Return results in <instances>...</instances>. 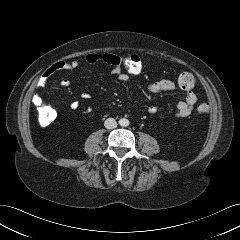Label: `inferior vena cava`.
I'll list each match as a JSON object with an SVG mask.
<instances>
[{
  "label": "inferior vena cava",
  "instance_id": "inferior-vena-cava-1",
  "mask_svg": "<svg viewBox=\"0 0 240 240\" xmlns=\"http://www.w3.org/2000/svg\"><path fill=\"white\" fill-rule=\"evenodd\" d=\"M104 126L107 128V129H114L117 127V122L115 119L113 118H108L105 120L104 122Z\"/></svg>",
  "mask_w": 240,
  "mask_h": 240
}]
</instances>
